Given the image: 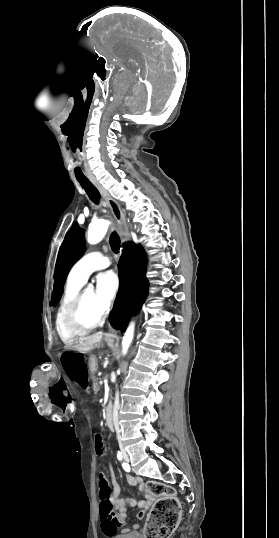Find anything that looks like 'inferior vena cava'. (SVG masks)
Returning <instances> with one entry per match:
<instances>
[{"instance_id":"inferior-vena-cava-1","label":"inferior vena cava","mask_w":279,"mask_h":538,"mask_svg":"<svg viewBox=\"0 0 279 538\" xmlns=\"http://www.w3.org/2000/svg\"><path fill=\"white\" fill-rule=\"evenodd\" d=\"M119 410V401H118V393L116 395V400H115V405H114V410H113V422L115 424V428H116V432H117V438H118V441H119V446H120V449H121V455L122 457L124 458H128L125 453H124V448H123V444L121 443V440L122 438H120V432H121V429H119V423L120 421H118V410ZM112 431L114 432V430L112 429Z\"/></svg>"}]
</instances>
